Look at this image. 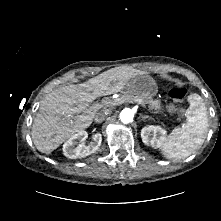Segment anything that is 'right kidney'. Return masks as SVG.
<instances>
[{
  "label": "right kidney",
  "mask_w": 221,
  "mask_h": 221,
  "mask_svg": "<svg viewBox=\"0 0 221 221\" xmlns=\"http://www.w3.org/2000/svg\"><path fill=\"white\" fill-rule=\"evenodd\" d=\"M88 137L86 131H80L77 134H74L69 140H67L63 145V154L70 158H84L91 153H94L98 150L101 145L102 136L100 133H96L93 136V142L89 146L84 145V141ZM77 143H80L77 145ZM77 145V146H76Z\"/></svg>",
  "instance_id": "right-kidney-1"
}]
</instances>
